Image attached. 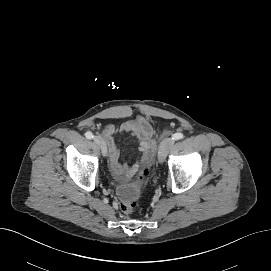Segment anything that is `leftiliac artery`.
Segmentation results:
<instances>
[{
    "mask_svg": "<svg viewBox=\"0 0 271 271\" xmlns=\"http://www.w3.org/2000/svg\"><path fill=\"white\" fill-rule=\"evenodd\" d=\"M184 137V135L182 134V133H175L174 135H173V139L174 140H180V139H182Z\"/></svg>",
    "mask_w": 271,
    "mask_h": 271,
    "instance_id": "obj_1",
    "label": "left iliac artery"
}]
</instances>
